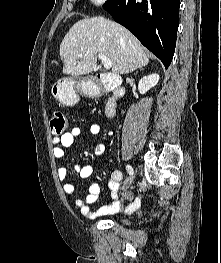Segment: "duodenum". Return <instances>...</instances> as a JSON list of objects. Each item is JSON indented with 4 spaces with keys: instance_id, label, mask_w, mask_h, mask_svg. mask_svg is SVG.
Wrapping results in <instances>:
<instances>
[{
    "instance_id": "duodenum-1",
    "label": "duodenum",
    "mask_w": 221,
    "mask_h": 263,
    "mask_svg": "<svg viewBox=\"0 0 221 263\" xmlns=\"http://www.w3.org/2000/svg\"><path fill=\"white\" fill-rule=\"evenodd\" d=\"M95 80L101 88L110 92V96L105 101L104 113L107 117L115 113L118 101L124 96V90L120 85L119 78L113 73H99Z\"/></svg>"
}]
</instances>
